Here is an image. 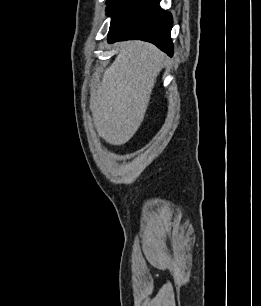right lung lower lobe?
Masks as SVG:
<instances>
[{
  "label": "right lung lower lobe",
  "instance_id": "obj_1",
  "mask_svg": "<svg viewBox=\"0 0 261 306\" xmlns=\"http://www.w3.org/2000/svg\"><path fill=\"white\" fill-rule=\"evenodd\" d=\"M160 0H112L107 6L111 16L108 42L139 39L151 42L173 54L172 16L159 6Z\"/></svg>",
  "mask_w": 261,
  "mask_h": 306
}]
</instances>
